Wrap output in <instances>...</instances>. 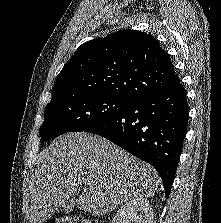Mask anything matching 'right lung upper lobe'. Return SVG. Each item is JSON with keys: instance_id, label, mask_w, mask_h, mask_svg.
Returning <instances> with one entry per match:
<instances>
[{"instance_id": "obj_1", "label": "right lung upper lobe", "mask_w": 221, "mask_h": 223, "mask_svg": "<svg viewBox=\"0 0 221 223\" xmlns=\"http://www.w3.org/2000/svg\"><path fill=\"white\" fill-rule=\"evenodd\" d=\"M179 83L168 54L153 36L120 30L77 49L59 73L50 103L82 95L134 101Z\"/></svg>"}]
</instances>
